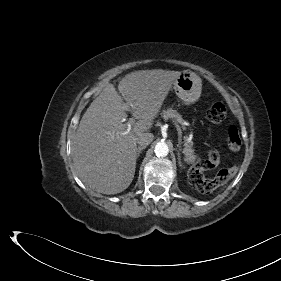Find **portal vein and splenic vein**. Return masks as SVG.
Wrapping results in <instances>:
<instances>
[{
    "mask_svg": "<svg viewBox=\"0 0 281 281\" xmlns=\"http://www.w3.org/2000/svg\"><path fill=\"white\" fill-rule=\"evenodd\" d=\"M124 108L127 110V109H128V106H124ZM173 122H174V121H173ZM133 123H134V119L131 118V119L129 120L128 124H127L126 130L122 133L123 135H126V134H129V133H130V131L132 130V127H131V126H132ZM174 125H175V127H176L178 133L181 134L182 132H181L180 126H179L177 123H175V122H174Z\"/></svg>",
    "mask_w": 281,
    "mask_h": 281,
    "instance_id": "1",
    "label": "portal vein and splenic vein"
}]
</instances>
